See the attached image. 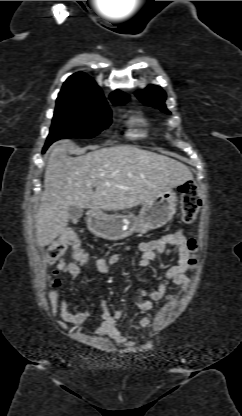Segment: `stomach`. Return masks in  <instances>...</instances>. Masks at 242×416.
<instances>
[{
	"instance_id": "stomach-1",
	"label": "stomach",
	"mask_w": 242,
	"mask_h": 416,
	"mask_svg": "<svg viewBox=\"0 0 242 416\" xmlns=\"http://www.w3.org/2000/svg\"><path fill=\"white\" fill-rule=\"evenodd\" d=\"M176 205V193L168 189L147 202L137 216L106 215L92 210L87 214V227L97 237L120 240L134 232H147L164 226L175 214Z\"/></svg>"
}]
</instances>
